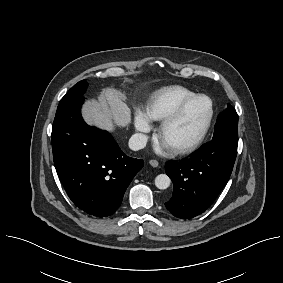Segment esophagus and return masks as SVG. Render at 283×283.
<instances>
[{"label":"esophagus","instance_id":"34e87169","mask_svg":"<svg viewBox=\"0 0 283 283\" xmlns=\"http://www.w3.org/2000/svg\"><path fill=\"white\" fill-rule=\"evenodd\" d=\"M149 164H150L152 167H158V165H159L158 161H157V160H154V159L150 160V161H149Z\"/></svg>","mask_w":283,"mask_h":283}]
</instances>
